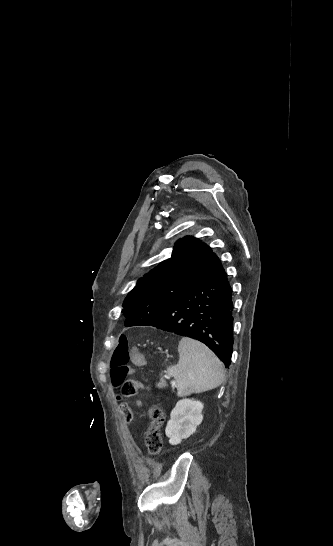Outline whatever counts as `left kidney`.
<instances>
[{"instance_id":"1","label":"left kidney","mask_w":333,"mask_h":546,"mask_svg":"<svg viewBox=\"0 0 333 546\" xmlns=\"http://www.w3.org/2000/svg\"><path fill=\"white\" fill-rule=\"evenodd\" d=\"M202 410L203 404L198 400L182 399L176 403L165 429L171 445L181 443L196 431L203 420Z\"/></svg>"}]
</instances>
